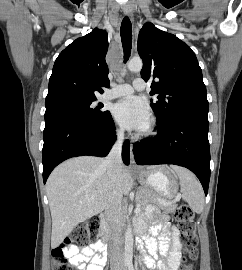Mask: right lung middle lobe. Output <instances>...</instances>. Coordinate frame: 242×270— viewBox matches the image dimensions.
I'll use <instances>...</instances> for the list:
<instances>
[{"mask_svg": "<svg viewBox=\"0 0 242 270\" xmlns=\"http://www.w3.org/2000/svg\"><path fill=\"white\" fill-rule=\"evenodd\" d=\"M92 100H72L46 106L45 120L56 115L67 113H80L92 120H103L110 112L101 110L102 105L93 106Z\"/></svg>", "mask_w": 242, "mask_h": 270, "instance_id": "right-lung-middle-lobe-1", "label": "right lung middle lobe"}]
</instances>
